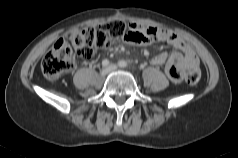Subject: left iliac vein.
<instances>
[{
    "instance_id": "4c4485c4",
    "label": "left iliac vein",
    "mask_w": 238,
    "mask_h": 158,
    "mask_svg": "<svg viewBox=\"0 0 238 158\" xmlns=\"http://www.w3.org/2000/svg\"><path fill=\"white\" fill-rule=\"evenodd\" d=\"M107 69L109 72L116 71L118 69V66L115 64H111Z\"/></svg>"
}]
</instances>
